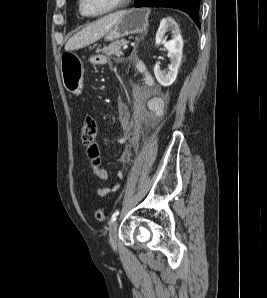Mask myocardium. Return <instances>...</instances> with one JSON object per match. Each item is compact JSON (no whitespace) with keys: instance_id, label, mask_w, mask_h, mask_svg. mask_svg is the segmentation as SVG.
I'll list each match as a JSON object with an SVG mask.
<instances>
[{"instance_id":"f54148a6","label":"myocardium","mask_w":267,"mask_h":298,"mask_svg":"<svg viewBox=\"0 0 267 298\" xmlns=\"http://www.w3.org/2000/svg\"><path fill=\"white\" fill-rule=\"evenodd\" d=\"M129 2H130V0H117L112 7H110L109 9H107V10L101 12V13L88 14V13H86L84 11L83 0H79V11L85 17H88V18H98V17H102V16H105V15H108V14H111V13H114V12L120 10L125 5H127Z\"/></svg>"}]
</instances>
